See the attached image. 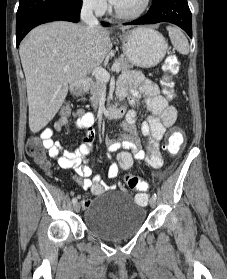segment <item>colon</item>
Here are the masks:
<instances>
[{"instance_id": "1", "label": "colon", "mask_w": 227, "mask_h": 279, "mask_svg": "<svg viewBox=\"0 0 227 279\" xmlns=\"http://www.w3.org/2000/svg\"><path fill=\"white\" fill-rule=\"evenodd\" d=\"M179 62L176 58L172 57L170 62L167 65L166 74L162 78V84L165 89L166 95L168 97H175V83L173 80V75L178 71ZM65 116L69 115V107H64ZM185 140L184 133L180 129H173L168 136V140L166 143V150L169 155L176 156ZM27 153L34 159V161L44 167L49 166V162L47 161L44 149L41 143L37 139H32L27 144ZM125 181L127 186L137 191L136 201L139 204L146 203L148 201L147 183L139 176L129 174L126 175Z\"/></svg>"}]
</instances>
